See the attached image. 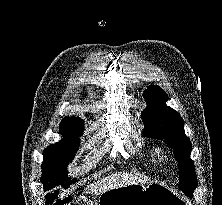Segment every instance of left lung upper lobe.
I'll list each match as a JSON object with an SVG mask.
<instances>
[{
  "label": "left lung upper lobe",
  "mask_w": 222,
  "mask_h": 205,
  "mask_svg": "<svg viewBox=\"0 0 222 205\" xmlns=\"http://www.w3.org/2000/svg\"><path fill=\"white\" fill-rule=\"evenodd\" d=\"M147 108L141 113L145 123L143 135L149 138L165 139L174 149L175 159L179 162V188L186 194H193L197 186L194 162L190 159L192 145L185 135L184 122L174 109L166 105V93L156 85L144 91Z\"/></svg>",
  "instance_id": "left-lung-upper-lobe-1"
}]
</instances>
